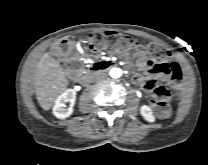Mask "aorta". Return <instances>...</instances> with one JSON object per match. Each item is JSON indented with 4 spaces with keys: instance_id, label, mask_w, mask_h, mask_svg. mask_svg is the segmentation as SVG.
<instances>
[{
    "instance_id": "obj_1",
    "label": "aorta",
    "mask_w": 208,
    "mask_h": 165,
    "mask_svg": "<svg viewBox=\"0 0 208 165\" xmlns=\"http://www.w3.org/2000/svg\"><path fill=\"white\" fill-rule=\"evenodd\" d=\"M109 75L112 77V78H119L122 76V70L120 68H117V67H113L111 68L110 72H109Z\"/></svg>"
}]
</instances>
